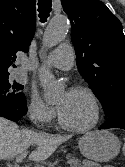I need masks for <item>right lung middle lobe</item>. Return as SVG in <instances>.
I'll return each instance as SVG.
<instances>
[{
  "label": "right lung middle lobe",
  "instance_id": "dd1d6c3e",
  "mask_svg": "<svg viewBox=\"0 0 125 167\" xmlns=\"http://www.w3.org/2000/svg\"><path fill=\"white\" fill-rule=\"evenodd\" d=\"M23 85L9 79V74H0V98L14 103H21L25 100L21 92Z\"/></svg>",
  "mask_w": 125,
  "mask_h": 167
}]
</instances>
